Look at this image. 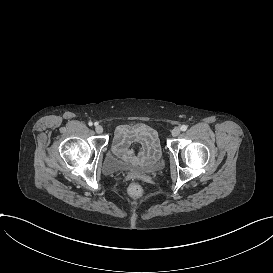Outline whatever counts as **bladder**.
I'll return each mask as SVG.
<instances>
[{
	"mask_svg": "<svg viewBox=\"0 0 273 273\" xmlns=\"http://www.w3.org/2000/svg\"><path fill=\"white\" fill-rule=\"evenodd\" d=\"M162 168L163 159L161 156H158L154 162L140 168L139 170L144 173H153L161 170ZM102 169L105 174L111 175L131 171L133 170V167L129 163L119 160L111 152H109L103 161Z\"/></svg>",
	"mask_w": 273,
	"mask_h": 273,
	"instance_id": "31cf9c89",
	"label": "bladder"
}]
</instances>
